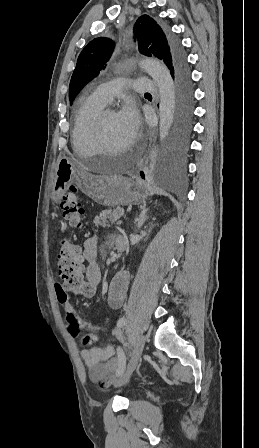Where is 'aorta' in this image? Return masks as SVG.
<instances>
[{
    "mask_svg": "<svg viewBox=\"0 0 259 448\" xmlns=\"http://www.w3.org/2000/svg\"><path fill=\"white\" fill-rule=\"evenodd\" d=\"M141 66L153 78L159 89V136L160 140H164L173 123L176 103L175 85L169 70L162 62L146 58L141 62Z\"/></svg>",
    "mask_w": 259,
    "mask_h": 448,
    "instance_id": "762f6f07",
    "label": "aorta"
}]
</instances>
